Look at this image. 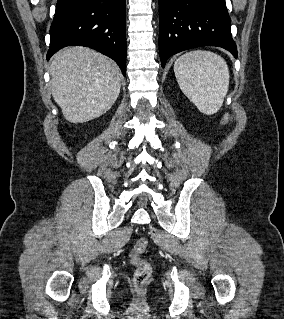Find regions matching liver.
<instances>
[{
	"label": "liver",
	"mask_w": 284,
	"mask_h": 319,
	"mask_svg": "<svg viewBox=\"0 0 284 319\" xmlns=\"http://www.w3.org/2000/svg\"><path fill=\"white\" fill-rule=\"evenodd\" d=\"M52 96L65 119L84 123L107 112L121 88L119 68L90 48L73 46L53 57Z\"/></svg>",
	"instance_id": "1"
}]
</instances>
